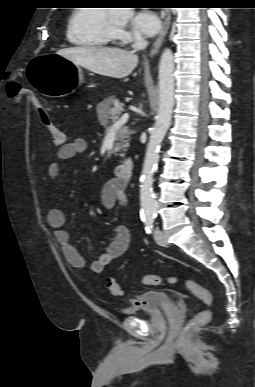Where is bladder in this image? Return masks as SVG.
Returning a JSON list of instances; mask_svg holds the SVG:
<instances>
[{
  "instance_id": "bladder-1",
  "label": "bladder",
  "mask_w": 255,
  "mask_h": 387,
  "mask_svg": "<svg viewBox=\"0 0 255 387\" xmlns=\"http://www.w3.org/2000/svg\"><path fill=\"white\" fill-rule=\"evenodd\" d=\"M174 303L171 296L162 291H147L142 293L137 302L132 303L123 310L125 315L158 314L165 309L173 308Z\"/></svg>"
}]
</instances>
